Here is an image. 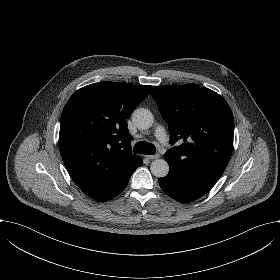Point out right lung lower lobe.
Segmentation results:
<instances>
[{"instance_id":"1","label":"right lung lower lobe","mask_w":280,"mask_h":280,"mask_svg":"<svg viewBox=\"0 0 280 280\" xmlns=\"http://www.w3.org/2000/svg\"><path fill=\"white\" fill-rule=\"evenodd\" d=\"M128 183V182H127ZM127 186V184L123 187V189L120 190L119 194L125 189V187ZM117 196V195H116Z\"/></svg>"}]
</instances>
